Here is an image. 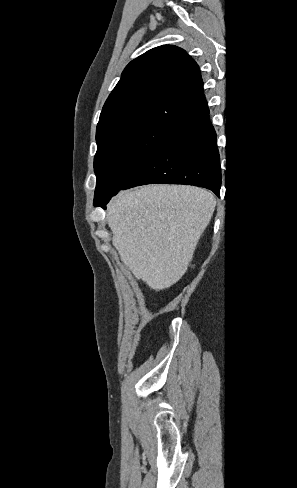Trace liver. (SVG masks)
<instances>
[{"label":"liver","instance_id":"6515ba94","mask_svg":"<svg viewBox=\"0 0 297 488\" xmlns=\"http://www.w3.org/2000/svg\"><path fill=\"white\" fill-rule=\"evenodd\" d=\"M216 200L205 189L148 185L121 191L108 209L112 243L137 279L154 290L182 278Z\"/></svg>","mask_w":297,"mask_h":488}]
</instances>
